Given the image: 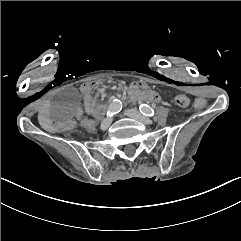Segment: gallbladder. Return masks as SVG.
Here are the masks:
<instances>
[{"label":"gallbladder","mask_w":241,"mask_h":241,"mask_svg":"<svg viewBox=\"0 0 241 241\" xmlns=\"http://www.w3.org/2000/svg\"><path fill=\"white\" fill-rule=\"evenodd\" d=\"M51 114L59 119H69L80 110V93L74 86H66L48 102Z\"/></svg>","instance_id":"obj_1"}]
</instances>
